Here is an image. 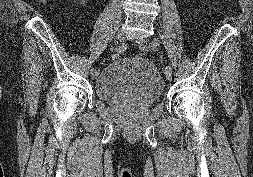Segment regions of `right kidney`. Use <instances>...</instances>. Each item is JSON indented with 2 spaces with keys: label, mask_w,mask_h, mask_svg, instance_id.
I'll return each mask as SVG.
<instances>
[{
  "label": "right kidney",
  "mask_w": 253,
  "mask_h": 177,
  "mask_svg": "<svg viewBox=\"0 0 253 177\" xmlns=\"http://www.w3.org/2000/svg\"><path fill=\"white\" fill-rule=\"evenodd\" d=\"M86 0H81V2L84 4Z\"/></svg>",
  "instance_id": "ca27d5eb"
}]
</instances>
